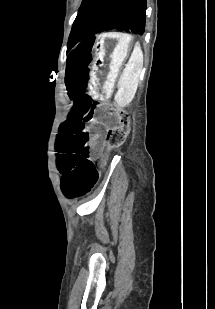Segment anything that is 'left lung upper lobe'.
<instances>
[{
    "mask_svg": "<svg viewBox=\"0 0 215 309\" xmlns=\"http://www.w3.org/2000/svg\"><path fill=\"white\" fill-rule=\"evenodd\" d=\"M146 0H83L73 24L68 47L112 29L145 32Z\"/></svg>",
    "mask_w": 215,
    "mask_h": 309,
    "instance_id": "1",
    "label": "left lung upper lobe"
}]
</instances>
